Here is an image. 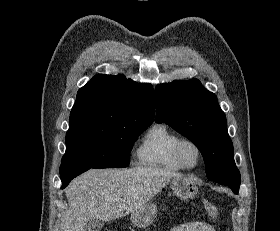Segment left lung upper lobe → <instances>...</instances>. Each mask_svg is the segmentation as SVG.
I'll return each instance as SVG.
<instances>
[{"label":"left lung upper lobe","instance_id":"5c2ea615","mask_svg":"<svg viewBox=\"0 0 280 231\" xmlns=\"http://www.w3.org/2000/svg\"><path fill=\"white\" fill-rule=\"evenodd\" d=\"M155 99L156 122L167 123L197 146L210 181L237 170L225 114L199 80L158 85Z\"/></svg>","mask_w":280,"mask_h":231}]
</instances>
